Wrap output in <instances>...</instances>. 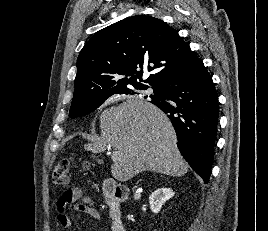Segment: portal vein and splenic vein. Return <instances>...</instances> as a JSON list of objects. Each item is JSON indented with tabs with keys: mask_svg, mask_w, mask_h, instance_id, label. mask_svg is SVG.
I'll return each mask as SVG.
<instances>
[{
	"mask_svg": "<svg viewBox=\"0 0 268 231\" xmlns=\"http://www.w3.org/2000/svg\"><path fill=\"white\" fill-rule=\"evenodd\" d=\"M112 160L116 161V160H118V157L112 156Z\"/></svg>",
	"mask_w": 268,
	"mask_h": 231,
	"instance_id": "portal-vein-and-splenic-vein-1",
	"label": "portal vein and splenic vein"
}]
</instances>
